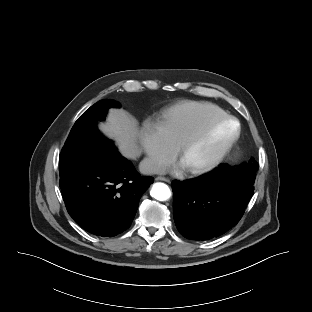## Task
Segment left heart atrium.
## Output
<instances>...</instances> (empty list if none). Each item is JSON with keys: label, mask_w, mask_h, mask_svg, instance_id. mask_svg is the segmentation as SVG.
I'll use <instances>...</instances> for the list:
<instances>
[{"label": "left heart atrium", "mask_w": 312, "mask_h": 312, "mask_svg": "<svg viewBox=\"0 0 312 312\" xmlns=\"http://www.w3.org/2000/svg\"><path fill=\"white\" fill-rule=\"evenodd\" d=\"M185 168H187V166H186V164H185L183 161H181V162L176 166V169H177V170H182V169H185Z\"/></svg>", "instance_id": "obj_1"}]
</instances>
